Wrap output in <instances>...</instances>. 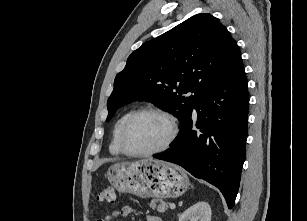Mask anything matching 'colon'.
Here are the masks:
<instances>
[{
  "label": "colon",
  "instance_id": "obj_1",
  "mask_svg": "<svg viewBox=\"0 0 307 221\" xmlns=\"http://www.w3.org/2000/svg\"><path fill=\"white\" fill-rule=\"evenodd\" d=\"M97 200L102 203H113L115 201V191L110 186L103 187L98 195Z\"/></svg>",
  "mask_w": 307,
  "mask_h": 221
}]
</instances>
